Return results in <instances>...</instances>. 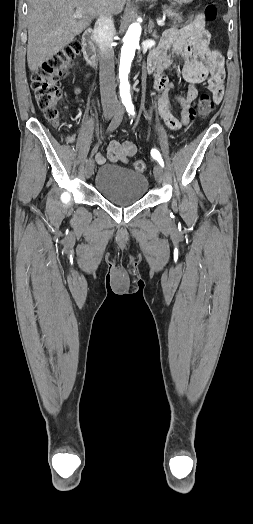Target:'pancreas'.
<instances>
[{"label":"pancreas","instance_id":"obj_1","mask_svg":"<svg viewBox=\"0 0 253 524\" xmlns=\"http://www.w3.org/2000/svg\"><path fill=\"white\" fill-rule=\"evenodd\" d=\"M163 14L173 19L174 23H182V16L180 13H178L177 9H173L172 7H165Z\"/></svg>","mask_w":253,"mask_h":524}]
</instances>
